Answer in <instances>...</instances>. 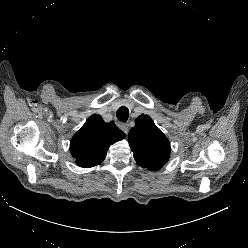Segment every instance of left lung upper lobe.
Listing matches in <instances>:
<instances>
[{
  "label": "left lung upper lobe",
  "mask_w": 248,
  "mask_h": 248,
  "mask_svg": "<svg viewBox=\"0 0 248 248\" xmlns=\"http://www.w3.org/2000/svg\"><path fill=\"white\" fill-rule=\"evenodd\" d=\"M128 141L136 162L148 170L158 171L169 159L170 142L147 115L136 118Z\"/></svg>",
  "instance_id": "obj_1"
}]
</instances>
